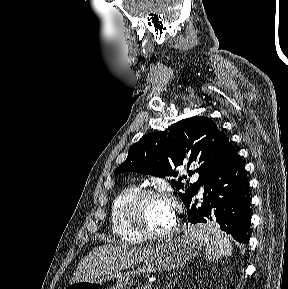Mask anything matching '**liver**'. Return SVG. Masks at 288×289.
I'll use <instances>...</instances> for the list:
<instances>
[{
  "mask_svg": "<svg viewBox=\"0 0 288 289\" xmlns=\"http://www.w3.org/2000/svg\"><path fill=\"white\" fill-rule=\"evenodd\" d=\"M155 248H136L118 243L99 246L79 262L69 284L94 280L136 265L151 256Z\"/></svg>",
  "mask_w": 288,
  "mask_h": 289,
  "instance_id": "6515ba94",
  "label": "liver"
}]
</instances>
